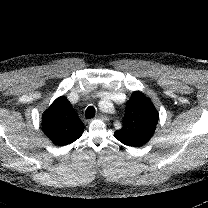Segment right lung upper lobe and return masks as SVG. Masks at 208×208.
Listing matches in <instances>:
<instances>
[{
	"mask_svg": "<svg viewBox=\"0 0 208 208\" xmlns=\"http://www.w3.org/2000/svg\"><path fill=\"white\" fill-rule=\"evenodd\" d=\"M42 129L57 146H65L77 140L84 125L66 97L57 98L42 115Z\"/></svg>",
	"mask_w": 208,
	"mask_h": 208,
	"instance_id": "1",
	"label": "right lung upper lobe"
}]
</instances>
